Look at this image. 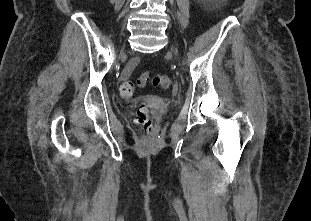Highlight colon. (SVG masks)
<instances>
[{
  "instance_id": "1",
  "label": "colon",
  "mask_w": 311,
  "mask_h": 221,
  "mask_svg": "<svg viewBox=\"0 0 311 221\" xmlns=\"http://www.w3.org/2000/svg\"><path fill=\"white\" fill-rule=\"evenodd\" d=\"M147 79L148 75L146 74L141 78V85H143ZM171 83L172 79L168 75L158 74L152 78V84L162 89L169 88ZM134 92H135V85L133 84L132 81H125L122 83L120 88V95L122 98L124 99L131 98ZM135 122L143 133L149 134L152 132L153 121L151 116L149 115L148 107L145 103L139 104L135 117Z\"/></svg>"
}]
</instances>
